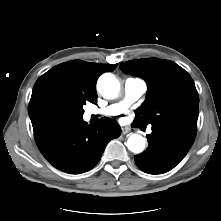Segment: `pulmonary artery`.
<instances>
[{
	"instance_id": "e3ab8cb5",
	"label": "pulmonary artery",
	"mask_w": 221,
	"mask_h": 221,
	"mask_svg": "<svg viewBox=\"0 0 221 221\" xmlns=\"http://www.w3.org/2000/svg\"><path fill=\"white\" fill-rule=\"evenodd\" d=\"M147 90V85L142 79L129 78L124 83L125 98L122 102L109 105L102 109H92L87 112L91 115L116 116L124 112L127 107L140 99ZM149 132L151 130L149 129Z\"/></svg>"
}]
</instances>
